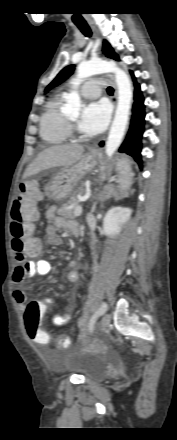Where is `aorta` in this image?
<instances>
[{"instance_id": "1", "label": "aorta", "mask_w": 177, "mask_h": 440, "mask_svg": "<svg viewBox=\"0 0 177 440\" xmlns=\"http://www.w3.org/2000/svg\"><path fill=\"white\" fill-rule=\"evenodd\" d=\"M106 72H113L115 74V81L118 87L117 109L106 142V155L112 157L124 137L129 119L133 93L128 75L125 71L118 68L114 62L92 59L87 62H81L78 65L77 75L76 78L73 79L72 85L74 89H76L83 79ZM80 109L81 99L78 92L74 90L67 97L65 113L77 115Z\"/></svg>"}]
</instances>
